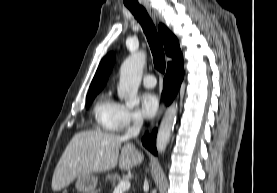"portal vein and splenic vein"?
<instances>
[{"label": "portal vein and splenic vein", "mask_w": 277, "mask_h": 193, "mask_svg": "<svg viewBox=\"0 0 277 193\" xmlns=\"http://www.w3.org/2000/svg\"><path fill=\"white\" fill-rule=\"evenodd\" d=\"M131 184L129 179H124L119 182L117 187L114 189L113 193H123L127 190H129Z\"/></svg>", "instance_id": "18ae733b"}]
</instances>
